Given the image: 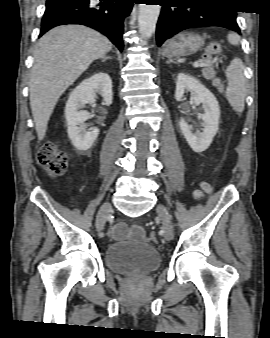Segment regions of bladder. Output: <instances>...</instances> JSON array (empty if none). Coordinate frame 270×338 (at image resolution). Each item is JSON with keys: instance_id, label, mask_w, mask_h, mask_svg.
I'll use <instances>...</instances> for the list:
<instances>
[{"instance_id": "bladder-1", "label": "bladder", "mask_w": 270, "mask_h": 338, "mask_svg": "<svg viewBox=\"0 0 270 338\" xmlns=\"http://www.w3.org/2000/svg\"><path fill=\"white\" fill-rule=\"evenodd\" d=\"M105 263L117 274H147L160 266L161 255L155 246L145 242H112L106 247Z\"/></svg>"}]
</instances>
